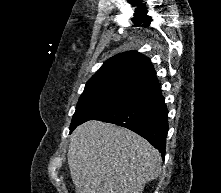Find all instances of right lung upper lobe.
Here are the masks:
<instances>
[{"mask_svg": "<svg viewBox=\"0 0 221 193\" xmlns=\"http://www.w3.org/2000/svg\"><path fill=\"white\" fill-rule=\"evenodd\" d=\"M156 81V73L149 58L137 51H128L108 59L88 80L85 89L114 83L133 84L145 88Z\"/></svg>", "mask_w": 221, "mask_h": 193, "instance_id": "obj_1", "label": "right lung upper lobe"}]
</instances>
